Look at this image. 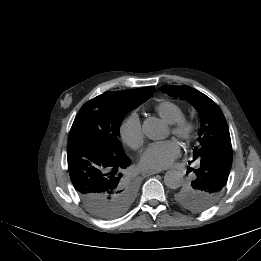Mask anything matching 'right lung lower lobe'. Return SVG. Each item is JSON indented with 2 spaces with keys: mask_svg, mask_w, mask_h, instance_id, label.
<instances>
[{
  "mask_svg": "<svg viewBox=\"0 0 261 261\" xmlns=\"http://www.w3.org/2000/svg\"><path fill=\"white\" fill-rule=\"evenodd\" d=\"M68 170L75 190L82 200L98 188L112 186L131 164L125 153L102 150L87 139H73L67 144Z\"/></svg>",
  "mask_w": 261,
  "mask_h": 261,
  "instance_id": "right-lung-lower-lobe-1",
  "label": "right lung lower lobe"
}]
</instances>
